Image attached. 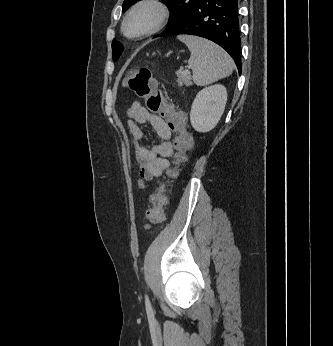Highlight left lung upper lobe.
I'll list each match as a JSON object with an SVG mask.
<instances>
[{"mask_svg":"<svg viewBox=\"0 0 333 346\" xmlns=\"http://www.w3.org/2000/svg\"><path fill=\"white\" fill-rule=\"evenodd\" d=\"M137 0H125L122 6L123 12L126 11ZM168 4L170 10L169 26H174L181 21L187 14L189 7L195 2V0H163ZM167 28V29H168ZM123 51L122 45L113 40L112 42V57L113 60H117Z\"/></svg>","mask_w":333,"mask_h":346,"instance_id":"1","label":"left lung upper lobe"}]
</instances>
